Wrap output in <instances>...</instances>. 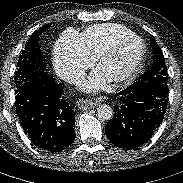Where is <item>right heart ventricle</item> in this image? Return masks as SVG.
Instances as JSON below:
<instances>
[{
	"instance_id": "e07e8e85",
	"label": "right heart ventricle",
	"mask_w": 183,
	"mask_h": 183,
	"mask_svg": "<svg viewBox=\"0 0 183 183\" xmlns=\"http://www.w3.org/2000/svg\"><path fill=\"white\" fill-rule=\"evenodd\" d=\"M135 35L130 29L119 24H100L88 27L81 34L84 49L92 58H97L118 40Z\"/></svg>"
}]
</instances>
